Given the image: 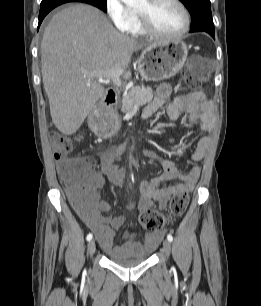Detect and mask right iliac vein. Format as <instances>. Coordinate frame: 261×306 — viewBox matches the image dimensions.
Listing matches in <instances>:
<instances>
[{
	"instance_id": "obj_1",
	"label": "right iliac vein",
	"mask_w": 261,
	"mask_h": 306,
	"mask_svg": "<svg viewBox=\"0 0 261 306\" xmlns=\"http://www.w3.org/2000/svg\"><path fill=\"white\" fill-rule=\"evenodd\" d=\"M88 250L90 255L92 256L96 251V244L94 240H90L88 243Z\"/></svg>"
}]
</instances>
